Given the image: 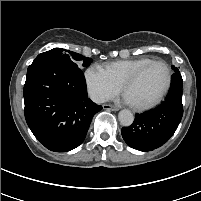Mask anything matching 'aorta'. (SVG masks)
I'll list each match as a JSON object with an SVG mask.
<instances>
[{"instance_id": "1", "label": "aorta", "mask_w": 201, "mask_h": 201, "mask_svg": "<svg viewBox=\"0 0 201 201\" xmlns=\"http://www.w3.org/2000/svg\"><path fill=\"white\" fill-rule=\"evenodd\" d=\"M118 119L121 125L130 126L134 121L133 113L130 110H121L118 114Z\"/></svg>"}]
</instances>
